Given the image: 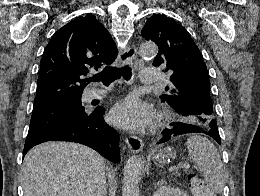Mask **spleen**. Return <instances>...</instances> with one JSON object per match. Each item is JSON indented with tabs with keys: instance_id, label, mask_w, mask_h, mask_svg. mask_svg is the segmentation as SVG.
<instances>
[{
	"instance_id": "3e777b00",
	"label": "spleen",
	"mask_w": 260,
	"mask_h": 196,
	"mask_svg": "<svg viewBox=\"0 0 260 196\" xmlns=\"http://www.w3.org/2000/svg\"><path fill=\"white\" fill-rule=\"evenodd\" d=\"M186 146L190 160L202 168L204 180L211 192L220 194L225 186V174L217 148L203 136H190Z\"/></svg>"
}]
</instances>
